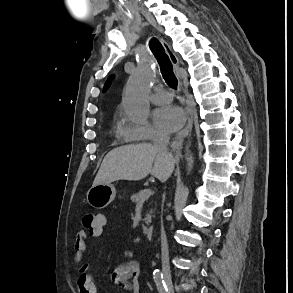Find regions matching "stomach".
<instances>
[{
    "mask_svg": "<svg viewBox=\"0 0 293 293\" xmlns=\"http://www.w3.org/2000/svg\"><path fill=\"white\" fill-rule=\"evenodd\" d=\"M115 195L116 190L112 184H99L89 189L87 201L92 207L103 209L114 200Z\"/></svg>",
    "mask_w": 293,
    "mask_h": 293,
    "instance_id": "0dacf381",
    "label": "stomach"
}]
</instances>
